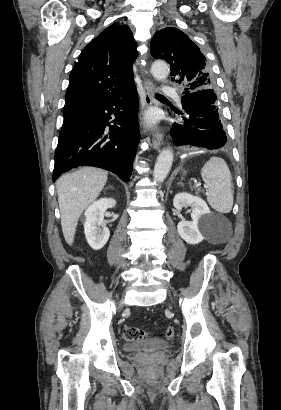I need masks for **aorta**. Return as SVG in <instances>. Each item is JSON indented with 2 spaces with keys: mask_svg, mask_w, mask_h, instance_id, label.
<instances>
[{
  "mask_svg": "<svg viewBox=\"0 0 281 410\" xmlns=\"http://www.w3.org/2000/svg\"><path fill=\"white\" fill-rule=\"evenodd\" d=\"M151 72L155 79L161 81L168 77L169 67L163 61H155L151 66ZM173 163V151L170 148L163 149L156 161L153 178L156 182H163Z\"/></svg>",
  "mask_w": 281,
  "mask_h": 410,
  "instance_id": "obj_1",
  "label": "aorta"
}]
</instances>
